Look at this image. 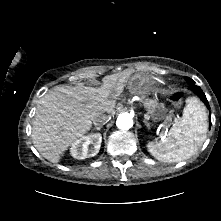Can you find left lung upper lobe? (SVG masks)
Wrapping results in <instances>:
<instances>
[{
    "label": "left lung upper lobe",
    "mask_w": 221,
    "mask_h": 221,
    "mask_svg": "<svg viewBox=\"0 0 221 221\" xmlns=\"http://www.w3.org/2000/svg\"><path fill=\"white\" fill-rule=\"evenodd\" d=\"M185 79H186L190 84L195 83L192 79H190V78H188V77H186Z\"/></svg>",
    "instance_id": "obj_1"
}]
</instances>
